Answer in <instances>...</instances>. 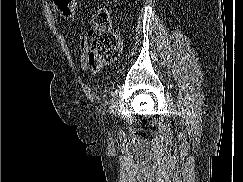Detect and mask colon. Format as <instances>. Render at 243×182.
Returning a JSON list of instances; mask_svg holds the SVG:
<instances>
[{"instance_id": "obj_1", "label": "colon", "mask_w": 243, "mask_h": 182, "mask_svg": "<svg viewBox=\"0 0 243 182\" xmlns=\"http://www.w3.org/2000/svg\"><path fill=\"white\" fill-rule=\"evenodd\" d=\"M60 16L70 19L74 15L76 0H54ZM93 27L89 31L91 39L88 47L92 57L102 60L115 59L121 50L118 35L112 29L110 10L102 8L93 16Z\"/></svg>"}]
</instances>
